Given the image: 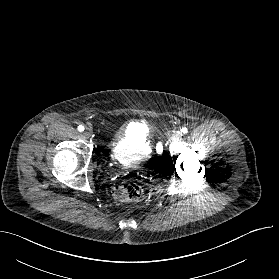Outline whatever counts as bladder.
I'll list each match as a JSON object with an SVG mask.
<instances>
[{"label": "bladder", "instance_id": "31cf9c89", "mask_svg": "<svg viewBox=\"0 0 279 279\" xmlns=\"http://www.w3.org/2000/svg\"><path fill=\"white\" fill-rule=\"evenodd\" d=\"M110 153L116 162L124 166L149 158L152 144L148 126L139 121L125 124L112 144Z\"/></svg>", "mask_w": 279, "mask_h": 279}]
</instances>
